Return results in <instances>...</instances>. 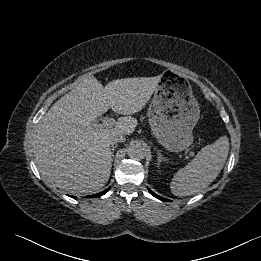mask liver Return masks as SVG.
<instances>
[{
    "label": "liver",
    "instance_id": "liver-1",
    "mask_svg": "<svg viewBox=\"0 0 261 261\" xmlns=\"http://www.w3.org/2000/svg\"><path fill=\"white\" fill-rule=\"evenodd\" d=\"M160 76L117 79L105 87L90 74L56 101L36 126L35 163L42 178L70 193H92L108 181L112 167L110 136L130 135L138 122L120 117L114 128L100 127L96 118L109 108L132 115L146 105Z\"/></svg>",
    "mask_w": 261,
    "mask_h": 261
}]
</instances>
